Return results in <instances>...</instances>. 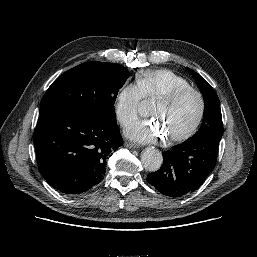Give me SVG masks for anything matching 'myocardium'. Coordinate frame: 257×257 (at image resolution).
I'll return each instance as SVG.
<instances>
[{
	"label": "myocardium",
	"mask_w": 257,
	"mask_h": 257,
	"mask_svg": "<svg viewBox=\"0 0 257 257\" xmlns=\"http://www.w3.org/2000/svg\"><path fill=\"white\" fill-rule=\"evenodd\" d=\"M189 93L194 94L198 99L199 109H198L197 116L188 129H186L181 134L171 136L170 137L171 141L179 142V141L186 140V139L190 138L196 132V130L200 126V124L204 118V115H205V110H206L205 98L200 90H198L194 87L188 86V87H182V88L173 90V91L159 97L156 101V102H159L162 104L172 105V104L176 103L179 99H181L183 96H185Z\"/></svg>",
	"instance_id": "obj_1"
}]
</instances>
